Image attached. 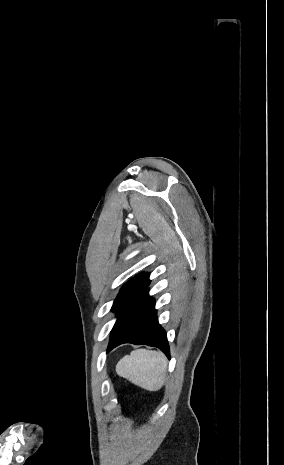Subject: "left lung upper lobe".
I'll use <instances>...</instances> for the list:
<instances>
[{
    "instance_id": "1",
    "label": "left lung upper lobe",
    "mask_w": 284,
    "mask_h": 465,
    "mask_svg": "<svg viewBox=\"0 0 284 465\" xmlns=\"http://www.w3.org/2000/svg\"><path fill=\"white\" fill-rule=\"evenodd\" d=\"M148 278L149 274L145 273L126 283L120 290L111 310L119 314L128 303L147 288L150 283Z\"/></svg>"
}]
</instances>
